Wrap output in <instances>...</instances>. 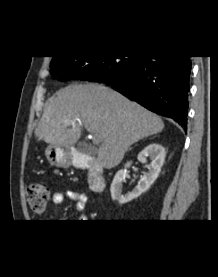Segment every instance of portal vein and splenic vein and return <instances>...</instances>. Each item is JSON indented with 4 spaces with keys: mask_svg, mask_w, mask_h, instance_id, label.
<instances>
[{
    "mask_svg": "<svg viewBox=\"0 0 218 277\" xmlns=\"http://www.w3.org/2000/svg\"><path fill=\"white\" fill-rule=\"evenodd\" d=\"M84 126L88 131H90V126L87 123H85ZM93 143L94 144H99L100 143L98 136L94 135V134H93Z\"/></svg>",
    "mask_w": 218,
    "mask_h": 277,
    "instance_id": "portal-vein-and-splenic-vein-1",
    "label": "portal vein and splenic vein"
}]
</instances>
